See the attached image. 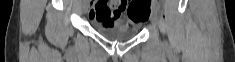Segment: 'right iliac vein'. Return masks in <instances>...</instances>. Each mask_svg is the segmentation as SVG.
I'll use <instances>...</instances> for the list:
<instances>
[{"label": "right iliac vein", "mask_w": 235, "mask_h": 62, "mask_svg": "<svg viewBox=\"0 0 235 62\" xmlns=\"http://www.w3.org/2000/svg\"><path fill=\"white\" fill-rule=\"evenodd\" d=\"M82 9H83L84 13H87V11H88V4L84 3L83 6H82Z\"/></svg>", "instance_id": "obj_1"}]
</instances>
